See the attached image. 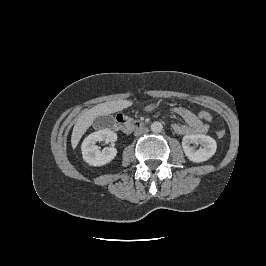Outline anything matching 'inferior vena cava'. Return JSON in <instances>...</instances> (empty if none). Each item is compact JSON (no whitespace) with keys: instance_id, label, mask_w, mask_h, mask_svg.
<instances>
[{"instance_id":"obj_1","label":"inferior vena cava","mask_w":266,"mask_h":266,"mask_svg":"<svg viewBox=\"0 0 266 266\" xmlns=\"http://www.w3.org/2000/svg\"><path fill=\"white\" fill-rule=\"evenodd\" d=\"M148 131H149L148 128L141 127V128H138V129L135 130L134 135L135 136H140V135H142L144 133H147Z\"/></svg>"}]
</instances>
